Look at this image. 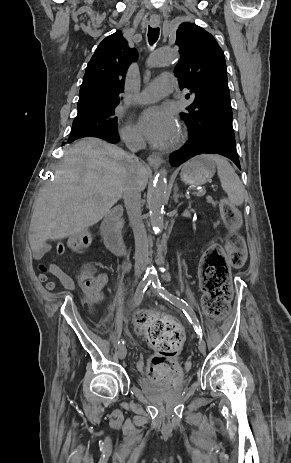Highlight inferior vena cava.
I'll use <instances>...</instances> for the list:
<instances>
[{
    "label": "inferior vena cava",
    "mask_w": 291,
    "mask_h": 463,
    "mask_svg": "<svg viewBox=\"0 0 291 463\" xmlns=\"http://www.w3.org/2000/svg\"><path fill=\"white\" fill-rule=\"evenodd\" d=\"M123 141L127 148L132 152L128 156L130 163V177L123 190V199L130 224L132 225L135 238V258H148V240L146 229L142 221L141 214V188L137 178V170L140 167L138 158L133 154L146 147L145 140L139 133H128L123 136Z\"/></svg>",
    "instance_id": "obj_1"
}]
</instances>
